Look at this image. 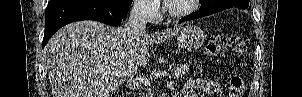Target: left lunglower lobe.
<instances>
[{
    "label": "left lung lower lobe",
    "mask_w": 302,
    "mask_h": 97,
    "mask_svg": "<svg viewBox=\"0 0 302 97\" xmlns=\"http://www.w3.org/2000/svg\"><path fill=\"white\" fill-rule=\"evenodd\" d=\"M215 2H217V0H215ZM248 7H249V3L246 4L245 6H241V7H238V8L247 9ZM219 11H222V10L216 9L211 4L206 5V6L201 5V7L198 11H196V12H194V13L186 16V17H183L182 19L179 20V22H185V21H188V20L204 17V16H207V15L219 12Z\"/></svg>",
    "instance_id": "obj_1"
}]
</instances>
